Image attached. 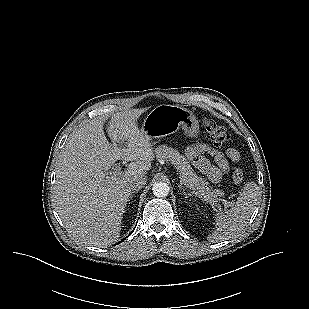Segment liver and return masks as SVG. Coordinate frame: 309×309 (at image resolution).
Wrapping results in <instances>:
<instances>
[{"mask_svg":"<svg viewBox=\"0 0 309 309\" xmlns=\"http://www.w3.org/2000/svg\"><path fill=\"white\" fill-rule=\"evenodd\" d=\"M145 109L116 113L104 133L103 120H91L74 132L56 167L54 203L72 236L106 247L118 240L131 189L127 181L146 174L154 159L152 144L137 127ZM117 160L131 162L120 174L109 173Z\"/></svg>","mask_w":309,"mask_h":309,"instance_id":"obj_1","label":"liver"}]
</instances>
